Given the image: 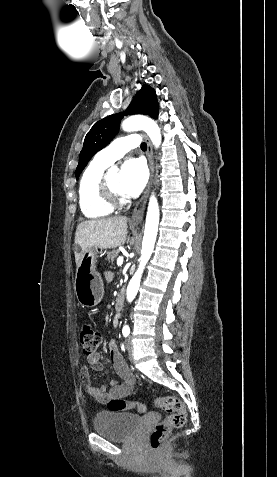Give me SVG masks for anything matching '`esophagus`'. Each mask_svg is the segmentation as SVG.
<instances>
[{"instance_id":"esophagus-1","label":"esophagus","mask_w":277,"mask_h":477,"mask_svg":"<svg viewBox=\"0 0 277 477\" xmlns=\"http://www.w3.org/2000/svg\"><path fill=\"white\" fill-rule=\"evenodd\" d=\"M143 137L147 142V159H148V166H149V170H150V177H149V181H148L147 187H146L143 195L141 196V198L136 203V205L133 209L132 216H131V219H130V222L132 224L139 223L143 218L145 206H146V203H147V199H148V196H149V192H150V189H151V186H152L153 176H154V162H153L152 145H151V142H150L149 138L147 137V135L144 134Z\"/></svg>"}]
</instances>
